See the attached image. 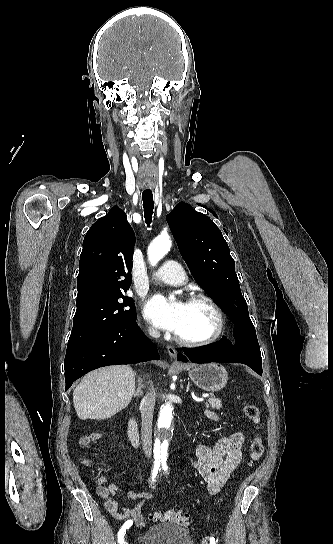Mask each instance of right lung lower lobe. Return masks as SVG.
<instances>
[{
	"label": "right lung lower lobe",
	"mask_w": 333,
	"mask_h": 544,
	"mask_svg": "<svg viewBox=\"0 0 333 544\" xmlns=\"http://www.w3.org/2000/svg\"><path fill=\"white\" fill-rule=\"evenodd\" d=\"M154 343L136 323V318L122 326L67 348L64 360L66 390L72 383L99 367L159 360Z\"/></svg>",
	"instance_id": "98d812e1"
}]
</instances>
